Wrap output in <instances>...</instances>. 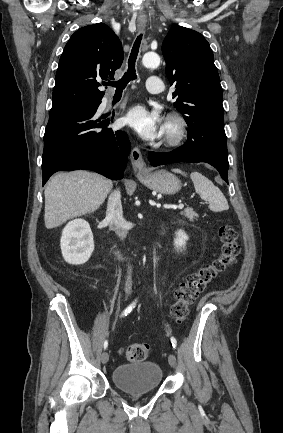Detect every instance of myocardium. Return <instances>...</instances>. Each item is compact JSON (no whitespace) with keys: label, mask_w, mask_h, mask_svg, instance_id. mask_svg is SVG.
I'll return each mask as SVG.
<instances>
[{"label":"myocardium","mask_w":283,"mask_h":433,"mask_svg":"<svg viewBox=\"0 0 283 433\" xmlns=\"http://www.w3.org/2000/svg\"><path fill=\"white\" fill-rule=\"evenodd\" d=\"M190 123L188 119L177 112L165 117V145L163 151L172 152L178 149L188 138Z\"/></svg>","instance_id":"myocardium-1"}]
</instances>
